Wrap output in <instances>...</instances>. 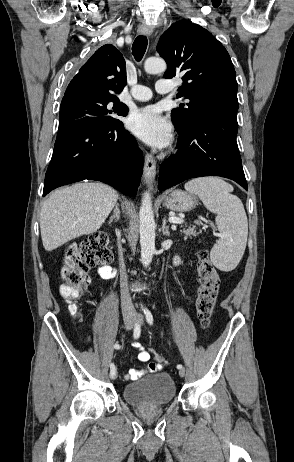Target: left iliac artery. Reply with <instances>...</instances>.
Listing matches in <instances>:
<instances>
[{
	"label": "left iliac artery",
	"instance_id": "1",
	"mask_svg": "<svg viewBox=\"0 0 294 462\" xmlns=\"http://www.w3.org/2000/svg\"><path fill=\"white\" fill-rule=\"evenodd\" d=\"M144 313H145L147 322H148L150 325H152V324H153V316H152L151 312H150L147 308H145V309H144ZM170 350H171V349H170ZM177 368H178V369H181V368H183V366H182L181 364H179V365H177Z\"/></svg>",
	"mask_w": 294,
	"mask_h": 462
}]
</instances>
